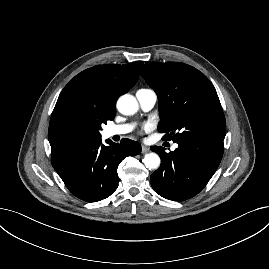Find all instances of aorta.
Here are the masks:
<instances>
[{"label": "aorta", "instance_id": "1", "mask_svg": "<svg viewBox=\"0 0 269 269\" xmlns=\"http://www.w3.org/2000/svg\"><path fill=\"white\" fill-rule=\"evenodd\" d=\"M139 105L136 98L132 95H122L117 101V109L123 115H133L138 111ZM143 163L149 170L159 168L161 159L158 154L151 152L144 156Z\"/></svg>", "mask_w": 269, "mask_h": 269}]
</instances>
